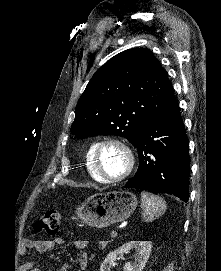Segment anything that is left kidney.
<instances>
[{
	"label": "left kidney",
	"instance_id": "1",
	"mask_svg": "<svg viewBox=\"0 0 221 271\" xmlns=\"http://www.w3.org/2000/svg\"><path fill=\"white\" fill-rule=\"evenodd\" d=\"M130 249H135L133 255L134 261H127L123 269L124 271H142L144 265L148 261V257L152 249V241H128V243H123L114 251H110L106 255L104 261L101 263L100 271H111V267L116 265L115 261L122 255V253H127Z\"/></svg>",
	"mask_w": 221,
	"mask_h": 271
}]
</instances>
